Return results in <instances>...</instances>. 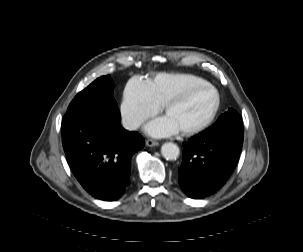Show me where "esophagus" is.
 <instances>
[{
  "mask_svg": "<svg viewBox=\"0 0 303 252\" xmlns=\"http://www.w3.org/2000/svg\"><path fill=\"white\" fill-rule=\"evenodd\" d=\"M145 143L148 147H155L159 145V142L153 139H147Z\"/></svg>",
  "mask_w": 303,
  "mask_h": 252,
  "instance_id": "obj_1",
  "label": "esophagus"
}]
</instances>
